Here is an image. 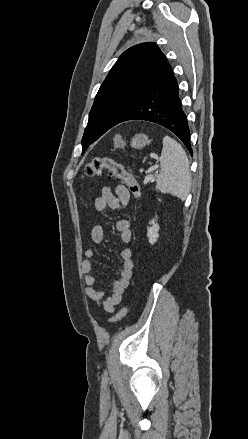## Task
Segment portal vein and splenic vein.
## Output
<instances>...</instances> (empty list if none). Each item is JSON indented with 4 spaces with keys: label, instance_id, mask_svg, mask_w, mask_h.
<instances>
[{
    "label": "portal vein and splenic vein",
    "instance_id": "portal-vein-and-splenic-vein-1",
    "mask_svg": "<svg viewBox=\"0 0 248 439\" xmlns=\"http://www.w3.org/2000/svg\"><path fill=\"white\" fill-rule=\"evenodd\" d=\"M157 168V166H152L150 169H149V171H153V170H155ZM146 180L147 181H154V177H152L151 175H147L146 176Z\"/></svg>",
    "mask_w": 248,
    "mask_h": 439
}]
</instances>
